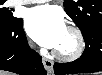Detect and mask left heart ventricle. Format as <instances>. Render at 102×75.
<instances>
[{
    "label": "left heart ventricle",
    "instance_id": "obj_1",
    "mask_svg": "<svg viewBox=\"0 0 102 75\" xmlns=\"http://www.w3.org/2000/svg\"><path fill=\"white\" fill-rule=\"evenodd\" d=\"M75 47H76L75 37L68 30H66L60 43L55 49L63 53H69L72 52L75 49Z\"/></svg>",
    "mask_w": 102,
    "mask_h": 75
}]
</instances>
